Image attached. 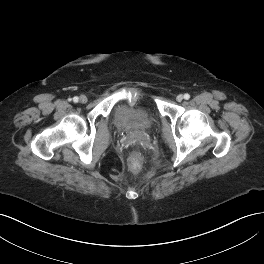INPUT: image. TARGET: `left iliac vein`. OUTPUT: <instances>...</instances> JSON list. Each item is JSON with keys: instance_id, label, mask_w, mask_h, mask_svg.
Instances as JSON below:
<instances>
[{"instance_id": "1", "label": "left iliac vein", "mask_w": 264, "mask_h": 264, "mask_svg": "<svg viewBox=\"0 0 264 264\" xmlns=\"http://www.w3.org/2000/svg\"><path fill=\"white\" fill-rule=\"evenodd\" d=\"M176 100L178 102H181L183 100V95L179 94L177 97H176Z\"/></svg>"}]
</instances>
